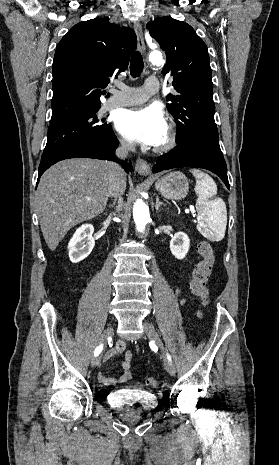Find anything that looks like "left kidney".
Wrapping results in <instances>:
<instances>
[{
    "instance_id": "1",
    "label": "left kidney",
    "mask_w": 279,
    "mask_h": 465,
    "mask_svg": "<svg viewBox=\"0 0 279 465\" xmlns=\"http://www.w3.org/2000/svg\"><path fill=\"white\" fill-rule=\"evenodd\" d=\"M190 248V239L184 232H177L170 241L171 253L179 260L185 258Z\"/></svg>"
}]
</instances>
